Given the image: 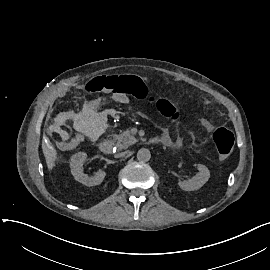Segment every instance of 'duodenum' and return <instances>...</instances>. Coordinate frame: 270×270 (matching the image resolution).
<instances>
[{
    "label": "duodenum",
    "instance_id": "410a0bca",
    "mask_svg": "<svg viewBox=\"0 0 270 270\" xmlns=\"http://www.w3.org/2000/svg\"><path fill=\"white\" fill-rule=\"evenodd\" d=\"M157 139H152L151 142H156ZM113 148V143L111 140H104L99 144V149L101 152H103L104 154H109L111 153Z\"/></svg>",
    "mask_w": 270,
    "mask_h": 270
}]
</instances>
